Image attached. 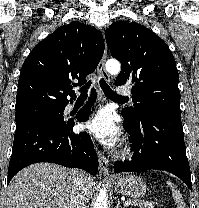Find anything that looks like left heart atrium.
<instances>
[{
	"instance_id": "left-heart-atrium-1",
	"label": "left heart atrium",
	"mask_w": 199,
	"mask_h": 208,
	"mask_svg": "<svg viewBox=\"0 0 199 208\" xmlns=\"http://www.w3.org/2000/svg\"><path fill=\"white\" fill-rule=\"evenodd\" d=\"M81 127L106 145H113L118 141L119 129L104 111L94 114Z\"/></svg>"
}]
</instances>
